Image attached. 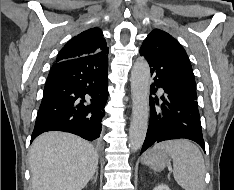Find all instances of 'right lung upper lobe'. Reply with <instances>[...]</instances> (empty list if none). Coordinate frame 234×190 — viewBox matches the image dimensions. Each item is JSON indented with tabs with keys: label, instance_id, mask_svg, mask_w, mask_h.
Here are the masks:
<instances>
[{
	"label": "right lung upper lobe",
	"instance_id": "obj_1",
	"mask_svg": "<svg viewBox=\"0 0 234 190\" xmlns=\"http://www.w3.org/2000/svg\"><path fill=\"white\" fill-rule=\"evenodd\" d=\"M108 52L102 31L99 28H92L68 41L59 52L56 63L97 53L108 54Z\"/></svg>",
	"mask_w": 234,
	"mask_h": 190
}]
</instances>
